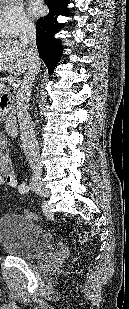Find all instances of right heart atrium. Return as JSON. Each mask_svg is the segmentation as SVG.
<instances>
[{
    "mask_svg": "<svg viewBox=\"0 0 129 309\" xmlns=\"http://www.w3.org/2000/svg\"><path fill=\"white\" fill-rule=\"evenodd\" d=\"M33 29L21 2L0 0V37L14 39Z\"/></svg>",
    "mask_w": 129,
    "mask_h": 309,
    "instance_id": "1",
    "label": "right heart atrium"
}]
</instances>
